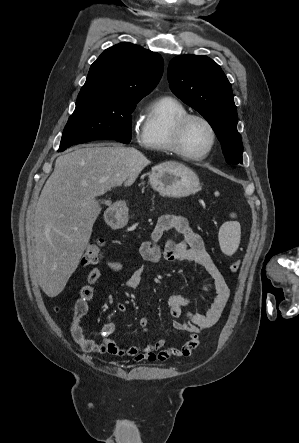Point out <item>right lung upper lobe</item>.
I'll use <instances>...</instances> for the list:
<instances>
[{"label": "right lung upper lobe", "instance_id": "cb5924a9", "mask_svg": "<svg viewBox=\"0 0 299 443\" xmlns=\"http://www.w3.org/2000/svg\"><path fill=\"white\" fill-rule=\"evenodd\" d=\"M163 65L158 53L128 42L116 44L91 65L79 94L141 100L158 84Z\"/></svg>", "mask_w": 299, "mask_h": 443}]
</instances>
